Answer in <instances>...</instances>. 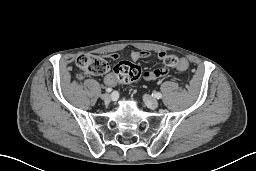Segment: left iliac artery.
<instances>
[{"instance_id": "1", "label": "left iliac artery", "mask_w": 256, "mask_h": 171, "mask_svg": "<svg viewBox=\"0 0 256 171\" xmlns=\"http://www.w3.org/2000/svg\"><path fill=\"white\" fill-rule=\"evenodd\" d=\"M154 97L157 98V99H160L162 98V94L157 92V93H154Z\"/></svg>"}]
</instances>
